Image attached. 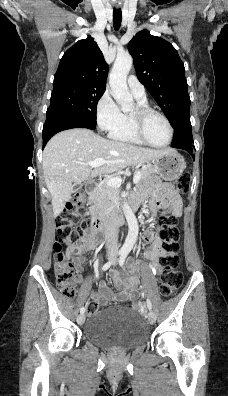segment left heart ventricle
Returning a JSON list of instances; mask_svg holds the SVG:
<instances>
[{"label": "left heart ventricle", "mask_w": 228, "mask_h": 396, "mask_svg": "<svg viewBox=\"0 0 228 396\" xmlns=\"http://www.w3.org/2000/svg\"><path fill=\"white\" fill-rule=\"evenodd\" d=\"M135 111V108L132 112ZM147 139L155 145H163L168 141L169 131L164 120L158 115L148 116L144 124Z\"/></svg>", "instance_id": "1"}]
</instances>
